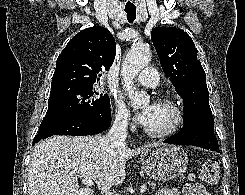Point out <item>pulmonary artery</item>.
<instances>
[{
    "label": "pulmonary artery",
    "mask_w": 245,
    "mask_h": 195,
    "mask_svg": "<svg viewBox=\"0 0 245 195\" xmlns=\"http://www.w3.org/2000/svg\"><path fill=\"white\" fill-rule=\"evenodd\" d=\"M137 82L146 87H154L159 82V75L153 67L144 68L137 76Z\"/></svg>",
    "instance_id": "e3ab8cb5"
}]
</instances>
